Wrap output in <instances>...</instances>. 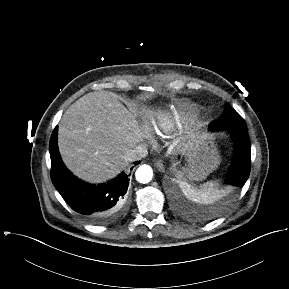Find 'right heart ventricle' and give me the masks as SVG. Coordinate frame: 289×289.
<instances>
[{"label":"right heart ventricle","instance_id":"obj_1","mask_svg":"<svg viewBox=\"0 0 289 289\" xmlns=\"http://www.w3.org/2000/svg\"><path fill=\"white\" fill-rule=\"evenodd\" d=\"M179 118V116H167L163 118L155 127V131L158 134L167 133L178 123Z\"/></svg>","mask_w":289,"mask_h":289}]
</instances>
